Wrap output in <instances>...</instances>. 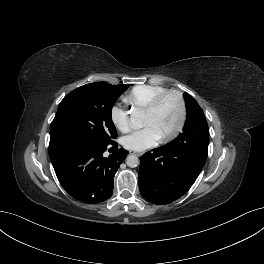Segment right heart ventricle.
<instances>
[{"label":"right heart ventricle","instance_id":"right-heart-ventricle-1","mask_svg":"<svg viewBox=\"0 0 264 264\" xmlns=\"http://www.w3.org/2000/svg\"><path fill=\"white\" fill-rule=\"evenodd\" d=\"M166 90L161 85H138L125 96V102L132 107L146 108L157 95Z\"/></svg>","mask_w":264,"mask_h":264}]
</instances>
